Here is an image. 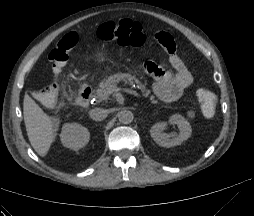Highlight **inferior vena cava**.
<instances>
[{"label": "inferior vena cava", "mask_w": 254, "mask_h": 216, "mask_svg": "<svg viewBox=\"0 0 254 216\" xmlns=\"http://www.w3.org/2000/svg\"><path fill=\"white\" fill-rule=\"evenodd\" d=\"M89 114L93 120L102 121L107 117L108 112H107V110L102 109V108H94V109L90 110Z\"/></svg>", "instance_id": "obj_1"}]
</instances>
